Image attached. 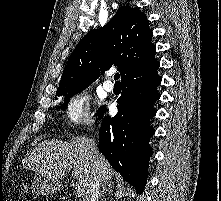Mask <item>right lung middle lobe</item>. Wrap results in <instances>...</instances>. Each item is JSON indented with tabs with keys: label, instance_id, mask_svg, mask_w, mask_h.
Instances as JSON below:
<instances>
[{
	"label": "right lung middle lobe",
	"instance_id": "obj_1",
	"mask_svg": "<svg viewBox=\"0 0 221 201\" xmlns=\"http://www.w3.org/2000/svg\"><path fill=\"white\" fill-rule=\"evenodd\" d=\"M82 90H75V91H71L69 93H65V94H58L57 96L60 97V96H64L66 98L65 102H64V105H63V109L67 106L68 102L70 101V97H72L73 95L81 92ZM103 108H100L99 111H97L96 115H99L101 113Z\"/></svg>",
	"mask_w": 221,
	"mask_h": 201
}]
</instances>
